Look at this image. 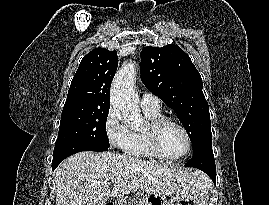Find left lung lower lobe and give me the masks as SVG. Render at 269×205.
Returning a JSON list of instances; mask_svg holds the SVG:
<instances>
[{"label": "left lung lower lobe", "instance_id": "1", "mask_svg": "<svg viewBox=\"0 0 269 205\" xmlns=\"http://www.w3.org/2000/svg\"><path fill=\"white\" fill-rule=\"evenodd\" d=\"M185 166L194 167L205 172L216 183V167L212 150V143L206 144L204 147L193 153V157Z\"/></svg>", "mask_w": 269, "mask_h": 205}]
</instances>
